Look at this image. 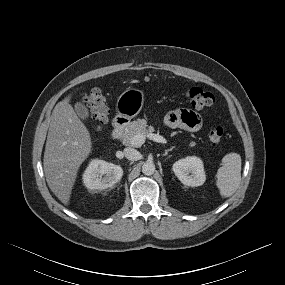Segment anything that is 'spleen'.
<instances>
[{
  "label": "spleen",
  "mask_w": 285,
  "mask_h": 285,
  "mask_svg": "<svg viewBox=\"0 0 285 285\" xmlns=\"http://www.w3.org/2000/svg\"><path fill=\"white\" fill-rule=\"evenodd\" d=\"M241 183V157L237 153L226 154L217 172L216 185L223 197L232 196Z\"/></svg>",
  "instance_id": "spleen-1"
}]
</instances>
